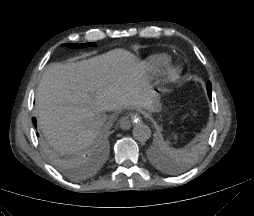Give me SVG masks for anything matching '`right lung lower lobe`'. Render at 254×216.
Here are the masks:
<instances>
[{
  "mask_svg": "<svg viewBox=\"0 0 254 216\" xmlns=\"http://www.w3.org/2000/svg\"><path fill=\"white\" fill-rule=\"evenodd\" d=\"M33 123L36 126V119L35 118H33Z\"/></svg>",
  "mask_w": 254,
  "mask_h": 216,
  "instance_id": "98d812e1",
  "label": "right lung lower lobe"
}]
</instances>
